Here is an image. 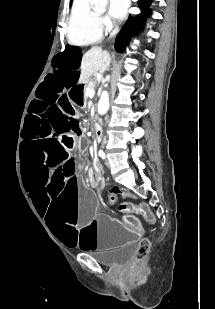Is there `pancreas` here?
Returning <instances> with one entry per match:
<instances>
[{
    "label": "pancreas",
    "instance_id": "pancreas-1",
    "mask_svg": "<svg viewBox=\"0 0 215 309\" xmlns=\"http://www.w3.org/2000/svg\"><path fill=\"white\" fill-rule=\"evenodd\" d=\"M97 84V80H93V78H91V80H88L87 82V86H85L84 88V98L86 100V98H89V90H87V88H95Z\"/></svg>",
    "mask_w": 215,
    "mask_h": 309
}]
</instances>
